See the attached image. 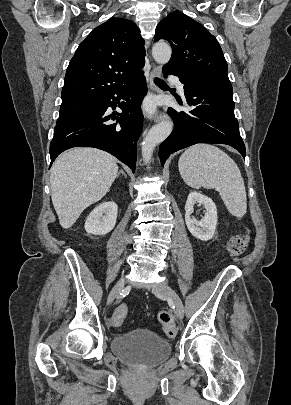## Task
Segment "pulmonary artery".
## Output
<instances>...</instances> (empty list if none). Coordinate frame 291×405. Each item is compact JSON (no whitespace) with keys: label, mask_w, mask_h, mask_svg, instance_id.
<instances>
[{"label":"pulmonary artery","mask_w":291,"mask_h":405,"mask_svg":"<svg viewBox=\"0 0 291 405\" xmlns=\"http://www.w3.org/2000/svg\"><path fill=\"white\" fill-rule=\"evenodd\" d=\"M169 79L172 80L176 84V86H177L178 90L180 91V93L183 94L184 93V87H183V84L179 81V79L177 77H175V76H169Z\"/></svg>","instance_id":"1"}]
</instances>
